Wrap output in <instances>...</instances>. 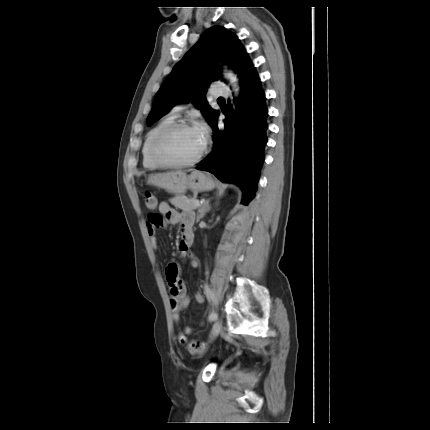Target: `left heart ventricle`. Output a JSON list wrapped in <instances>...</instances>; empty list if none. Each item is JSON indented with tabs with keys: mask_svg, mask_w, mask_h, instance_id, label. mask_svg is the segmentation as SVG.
Returning a JSON list of instances; mask_svg holds the SVG:
<instances>
[{
	"mask_svg": "<svg viewBox=\"0 0 430 430\" xmlns=\"http://www.w3.org/2000/svg\"><path fill=\"white\" fill-rule=\"evenodd\" d=\"M204 145L194 128L180 129L160 147L161 154L170 160L186 161L197 156Z\"/></svg>",
	"mask_w": 430,
	"mask_h": 430,
	"instance_id": "obj_1",
	"label": "left heart ventricle"
}]
</instances>
